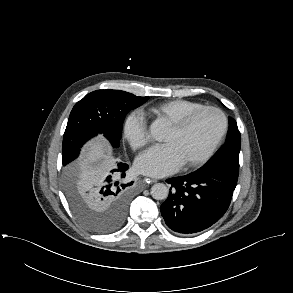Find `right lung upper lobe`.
<instances>
[{
  "label": "right lung upper lobe",
  "mask_w": 293,
  "mask_h": 293,
  "mask_svg": "<svg viewBox=\"0 0 293 293\" xmlns=\"http://www.w3.org/2000/svg\"><path fill=\"white\" fill-rule=\"evenodd\" d=\"M71 167H72V168H76V167H78V166H77L76 164H72Z\"/></svg>",
  "instance_id": "right-lung-upper-lobe-1"
}]
</instances>
